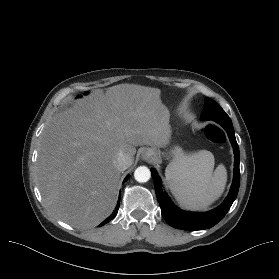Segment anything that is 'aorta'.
Instances as JSON below:
<instances>
[{
    "instance_id": "762f6f07",
    "label": "aorta",
    "mask_w": 279,
    "mask_h": 279,
    "mask_svg": "<svg viewBox=\"0 0 279 279\" xmlns=\"http://www.w3.org/2000/svg\"><path fill=\"white\" fill-rule=\"evenodd\" d=\"M151 177V172L146 166H139L134 172V178L137 182H147Z\"/></svg>"
}]
</instances>
